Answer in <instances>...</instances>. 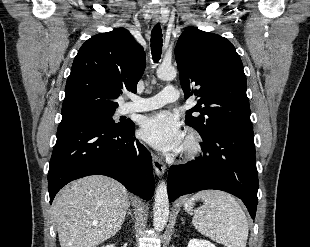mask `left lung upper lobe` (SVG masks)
Returning a JSON list of instances; mask_svg holds the SVG:
<instances>
[{"mask_svg": "<svg viewBox=\"0 0 310 247\" xmlns=\"http://www.w3.org/2000/svg\"><path fill=\"white\" fill-rule=\"evenodd\" d=\"M175 57L185 98H199L185 119L203 139L226 127L251 126L243 64L228 39L188 27Z\"/></svg>", "mask_w": 310, "mask_h": 247, "instance_id": "obj_1", "label": "left lung upper lobe"}]
</instances>
